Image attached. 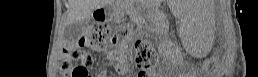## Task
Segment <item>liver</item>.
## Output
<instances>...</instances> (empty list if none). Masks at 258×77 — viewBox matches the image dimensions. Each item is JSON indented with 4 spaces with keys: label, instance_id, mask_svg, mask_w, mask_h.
<instances>
[{
    "label": "liver",
    "instance_id": "6515ba94",
    "mask_svg": "<svg viewBox=\"0 0 258 77\" xmlns=\"http://www.w3.org/2000/svg\"><path fill=\"white\" fill-rule=\"evenodd\" d=\"M108 0H68V24L83 22L93 10L104 7Z\"/></svg>",
    "mask_w": 258,
    "mask_h": 77
}]
</instances>
